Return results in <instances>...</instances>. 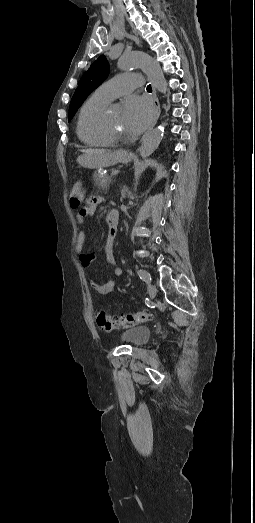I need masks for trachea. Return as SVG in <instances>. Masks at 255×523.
Masks as SVG:
<instances>
[{"instance_id":"3493384b","label":"trachea","mask_w":255,"mask_h":523,"mask_svg":"<svg viewBox=\"0 0 255 523\" xmlns=\"http://www.w3.org/2000/svg\"><path fill=\"white\" fill-rule=\"evenodd\" d=\"M146 90H147V92H150V93H151V92H152V87H151V85H147Z\"/></svg>"}]
</instances>
